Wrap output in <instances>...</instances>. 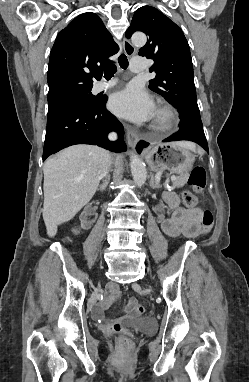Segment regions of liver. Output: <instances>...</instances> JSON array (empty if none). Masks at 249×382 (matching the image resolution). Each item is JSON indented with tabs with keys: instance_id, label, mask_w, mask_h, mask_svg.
Masks as SVG:
<instances>
[{
	"instance_id": "liver-1",
	"label": "liver",
	"mask_w": 249,
	"mask_h": 382,
	"mask_svg": "<svg viewBox=\"0 0 249 382\" xmlns=\"http://www.w3.org/2000/svg\"><path fill=\"white\" fill-rule=\"evenodd\" d=\"M179 143L195 149L193 143ZM109 162L106 150L79 144L62 150L44 163L43 219L49 237H54L58 226L70 221L92 199Z\"/></svg>"
}]
</instances>
